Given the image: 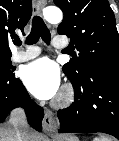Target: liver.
<instances>
[{"label":"liver","instance_id":"6515ba94","mask_svg":"<svg viewBox=\"0 0 119 141\" xmlns=\"http://www.w3.org/2000/svg\"><path fill=\"white\" fill-rule=\"evenodd\" d=\"M36 133L28 130L27 141H37ZM0 141H15L14 127L10 123L0 124Z\"/></svg>","mask_w":119,"mask_h":141}]
</instances>
